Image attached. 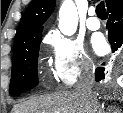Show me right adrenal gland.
<instances>
[{"instance_id":"obj_1","label":"right adrenal gland","mask_w":123,"mask_h":113,"mask_svg":"<svg viewBox=\"0 0 123 113\" xmlns=\"http://www.w3.org/2000/svg\"><path fill=\"white\" fill-rule=\"evenodd\" d=\"M112 109H113V108L111 107L110 109H108L109 112H107V111H105L104 105H102L101 109H99V110H100L99 112H100V113H110Z\"/></svg>"}]
</instances>
